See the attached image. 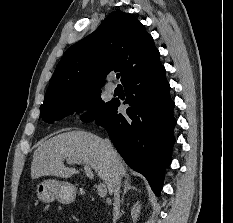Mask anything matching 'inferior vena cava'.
Masks as SVG:
<instances>
[{
  "mask_svg": "<svg viewBox=\"0 0 233 223\" xmlns=\"http://www.w3.org/2000/svg\"><path fill=\"white\" fill-rule=\"evenodd\" d=\"M106 151H109L112 159L115 157V151L111 145L110 139H104ZM120 185H121V175L118 169V165H114V177L112 179V191H113V219L112 223H116L117 213L120 209L119 197H120Z\"/></svg>",
  "mask_w": 233,
  "mask_h": 223,
  "instance_id": "inferior-vena-cava-1",
  "label": "inferior vena cava"
}]
</instances>
